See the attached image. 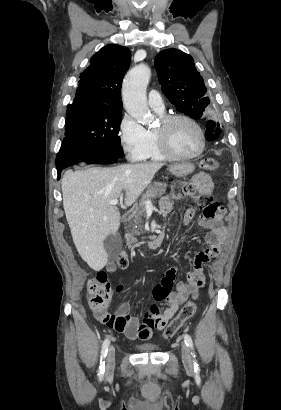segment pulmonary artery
Masks as SVG:
<instances>
[{
	"mask_svg": "<svg viewBox=\"0 0 281 410\" xmlns=\"http://www.w3.org/2000/svg\"><path fill=\"white\" fill-rule=\"evenodd\" d=\"M148 103L149 106L156 112H164L165 106L163 102V98L159 91L157 90H150L148 93Z\"/></svg>",
	"mask_w": 281,
	"mask_h": 410,
	"instance_id": "e3ab8cb5",
	"label": "pulmonary artery"
}]
</instances>
